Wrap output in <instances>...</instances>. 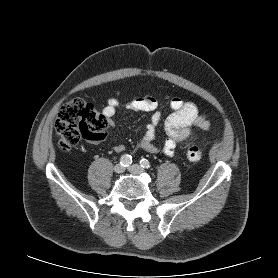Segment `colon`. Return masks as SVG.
Returning <instances> with one entry per match:
<instances>
[{
  "label": "colon",
  "mask_w": 278,
  "mask_h": 278,
  "mask_svg": "<svg viewBox=\"0 0 278 278\" xmlns=\"http://www.w3.org/2000/svg\"><path fill=\"white\" fill-rule=\"evenodd\" d=\"M107 118L93 104L82 99H74L64 104L55 120V132L61 150L69 151L81 140H101L107 127ZM186 157L191 162H198L203 151L197 145H190Z\"/></svg>",
  "instance_id": "colon-1"
}]
</instances>
